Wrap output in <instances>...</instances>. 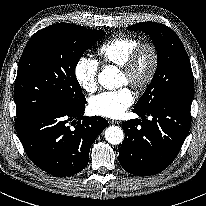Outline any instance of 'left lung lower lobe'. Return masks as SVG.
Here are the masks:
<instances>
[{
	"label": "left lung lower lobe",
	"instance_id": "left-lung-lower-lobe-1",
	"mask_svg": "<svg viewBox=\"0 0 206 206\" xmlns=\"http://www.w3.org/2000/svg\"><path fill=\"white\" fill-rule=\"evenodd\" d=\"M191 103L192 100L177 99L159 102L145 110L134 109L142 120L122 123L125 138L119 151L121 166L138 176L166 169L189 132Z\"/></svg>",
	"mask_w": 206,
	"mask_h": 206
}]
</instances>
